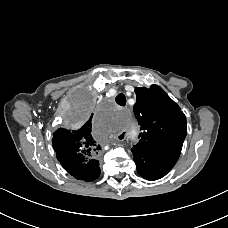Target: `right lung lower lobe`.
I'll list each match as a JSON object with an SVG mask.
<instances>
[{"label": "right lung lower lobe", "instance_id": "obj_1", "mask_svg": "<svg viewBox=\"0 0 228 228\" xmlns=\"http://www.w3.org/2000/svg\"><path fill=\"white\" fill-rule=\"evenodd\" d=\"M95 160V159H94ZM62 164V166L64 167V169L70 173L72 176H74L77 179H82L84 177L81 176V172L77 171L75 169V167L73 166V164L70 161H66V162H60ZM95 173L93 176V180L96 179L99 175H100V168L98 166V161L96 160V166H95ZM84 180V179H82ZM86 181V180H85ZM92 181V180H91Z\"/></svg>", "mask_w": 228, "mask_h": 228}]
</instances>
